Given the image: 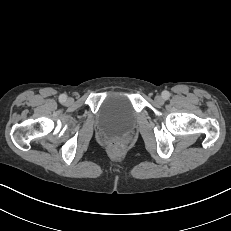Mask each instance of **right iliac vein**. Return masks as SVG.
I'll return each mask as SVG.
<instances>
[{
    "label": "right iliac vein",
    "mask_w": 231,
    "mask_h": 231,
    "mask_svg": "<svg viewBox=\"0 0 231 231\" xmlns=\"http://www.w3.org/2000/svg\"><path fill=\"white\" fill-rule=\"evenodd\" d=\"M71 101H72V99H71V98H69V99H68V102H71Z\"/></svg>",
    "instance_id": "right-iliac-vein-1"
}]
</instances>
